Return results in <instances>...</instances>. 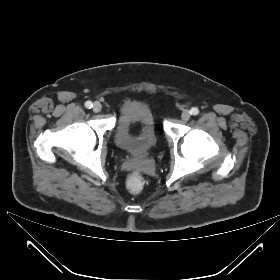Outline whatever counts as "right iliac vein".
<instances>
[{
  "label": "right iliac vein",
  "instance_id": "63e3f726",
  "mask_svg": "<svg viewBox=\"0 0 280 280\" xmlns=\"http://www.w3.org/2000/svg\"><path fill=\"white\" fill-rule=\"evenodd\" d=\"M101 109H102V105L99 102H95L93 105V111L97 113L100 112Z\"/></svg>",
  "mask_w": 280,
  "mask_h": 280
}]
</instances>
